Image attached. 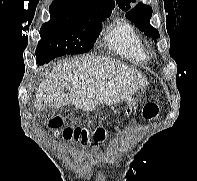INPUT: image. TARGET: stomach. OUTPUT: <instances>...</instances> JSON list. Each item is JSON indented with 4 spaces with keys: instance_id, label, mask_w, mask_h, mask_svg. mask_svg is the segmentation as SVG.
I'll return each instance as SVG.
<instances>
[{
    "instance_id": "1",
    "label": "stomach",
    "mask_w": 197,
    "mask_h": 181,
    "mask_svg": "<svg viewBox=\"0 0 197 181\" xmlns=\"http://www.w3.org/2000/svg\"><path fill=\"white\" fill-rule=\"evenodd\" d=\"M126 103H127V105H128L129 107H133V106L135 105L134 101L131 100V99H127V100H126Z\"/></svg>"
}]
</instances>
